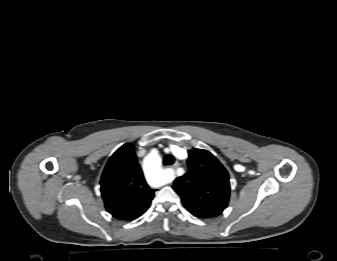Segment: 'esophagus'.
I'll return each instance as SVG.
<instances>
[{
    "label": "esophagus",
    "instance_id": "esophagus-1",
    "mask_svg": "<svg viewBox=\"0 0 337 261\" xmlns=\"http://www.w3.org/2000/svg\"><path fill=\"white\" fill-rule=\"evenodd\" d=\"M179 167V163L178 162H176L173 166H172V168H178Z\"/></svg>",
    "mask_w": 337,
    "mask_h": 261
}]
</instances>
